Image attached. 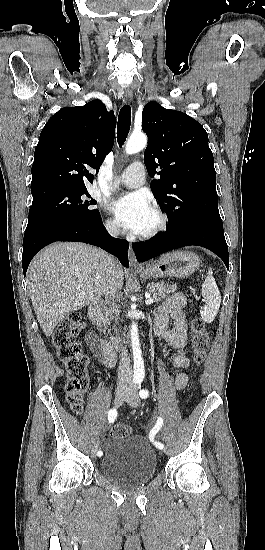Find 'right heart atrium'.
I'll list each match as a JSON object with an SVG mask.
<instances>
[{"mask_svg": "<svg viewBox=\"0 0 265 550\" xmlns=\"http://www.w3.org/2000/svg\"><path fill=\"white\" fill-rule=\"evenodd\" d=\"M104 226L109 234L114 236L119 234L118 226L112 219H106L104 222Z\"/></svg>", "mask_w": 265, "mask_h": 550, "instance_id": "right-heart-atrium-1", "label": "right heart atrium"}]
</instances>
